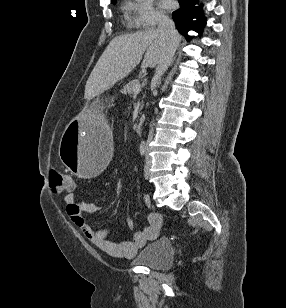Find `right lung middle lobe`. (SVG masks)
<instances>
[{
  "instance_id": "dd1d6c3e",
  "label": "right lung middle lobe",
  "mask_w": 286,
  "mask_h": 308,
  "mask_svg": "<svg viewBox=\"0 0 286 308\" xmlns=\"http://www.w3.org/2000/svg\"><path fill=\"white\" fill-rule=\"evenodd\" d=\"M112 3L115 4V3H116V0H113Z\"/></svg>"
}]
</instances>
